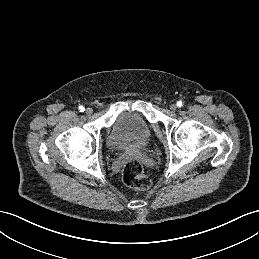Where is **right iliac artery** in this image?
I'll return each instance as SVG.
<instances>
[{"instance_id": "1", "label": "right iliac artery", "mask_w": 259, "mask_h": 259, "mask_svg": "<svg viewBox=\"0 0 259 259\" xmlns=\"http://www.w3.org/2000/svg\"><path fill=\"white\" fill-rule=\"evenodd\" d=\"M79 110H80V112H84L85 108L81 105V106H79Z\"/></svg>"}]
</instances>
